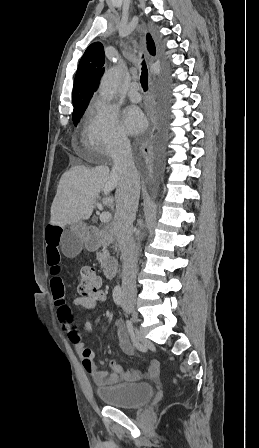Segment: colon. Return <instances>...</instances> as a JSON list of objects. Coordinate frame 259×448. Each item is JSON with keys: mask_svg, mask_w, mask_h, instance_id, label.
<instances>
[{"mask_svg": "<svg viewBox=\"0 0 259 448\" xmlns=\"http://www.w3.org/2000/svg\"><path fill=\"white\" fill-rule=\"evenodd\" d=\"M77 288L82 296L98 295L102 292V280L92 269H84L79 274Z\"/></svg>", "mask_w": 259, "mask_h": 448, "instance_id": "1", "label": "colon"}]
</instances>
